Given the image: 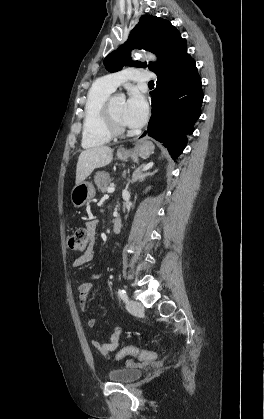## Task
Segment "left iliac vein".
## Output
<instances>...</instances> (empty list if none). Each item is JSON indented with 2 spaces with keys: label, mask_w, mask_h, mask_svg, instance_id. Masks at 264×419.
<instances>
[{
  "label": "left iliac vein",
  "mask_w": 264,
  "mask_h": 419,
  "mask_svg": "<svg viewBox=\"0 0 264 419\" xmlns=\"http://www.w3.org/2000/svg\"><path fill=\"white\" fill-rule=\"evenodd\" d=\"M126 308L132 314H140L143 312L142 304L135 300H129L126 304Z\"/></svg>",
  "instance_id": "4c4485c4"
}]
</instances>
